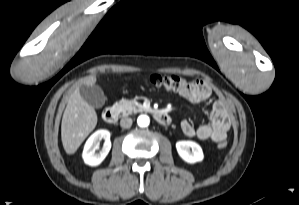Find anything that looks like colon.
Returning <instances> with one entry per match:
<instances>
[{"mask_svg":"<svg viewBox=\"0 0 299 205\" xmlns=\"http://www.w3.org/2000/svg\"><path fill=\"white\" fill-rule=\"evenodd\" d=\"M149 83L158 89H165L168 91H181L188 88L192 81L179 75H159L154 74L149 77ZM218 148L223 149L227 146L226 140L218 142Z\"/></svg>","mask_w":299,"mask_h":205,"instance_id":"5ec220e1","label":"colon"}]
</instances>
